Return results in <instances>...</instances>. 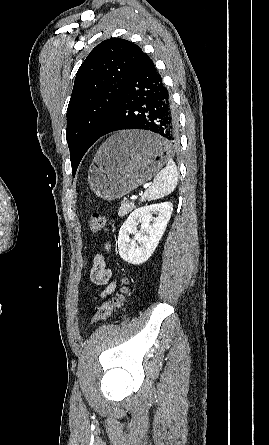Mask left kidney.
<instances>
[{
	"instance_id": "left-kidney-1",
	"label": "left kidney",
	"mask_w": 269,
	"mask_h": 445,
	"mask_svg": "<svg viewBox=\"0 0 269 445\" xmlns=\"http://www.w3.org/2000/svg\"><path fill=\"white\" fill-rule=\"evenodd\" d=\"M173 211L171 202L152 204L134 210L121 226L118 236L120 257L139 265L147 261L162 238ZM156 214V217H153ZM141 228L137 231L138 224ZM134 234V239H130Z\"/></svg>"
}]
</instances>
